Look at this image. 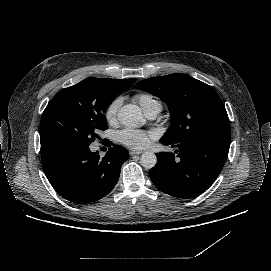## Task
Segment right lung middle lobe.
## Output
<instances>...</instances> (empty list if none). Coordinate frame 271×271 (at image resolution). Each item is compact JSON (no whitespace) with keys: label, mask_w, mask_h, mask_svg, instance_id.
<instances>
[{"label":"right lung middle lobe","mask_w":271,"mask_h":271,"mask_svg":"<svg viewBox=\"0 0 271 271\" xmlns=\"http://www.w3.org/2000/svg\"><path fill=\"white\" fill-rule=\"evenodd\" d=\"M121 92L111 93L94 102L81 89L59 91L45 108L40 122L41 144L54 140H71L90 144L97 132L108 128L105 109Z\"/></svg>","instance_id":"dd1d6c3e"}]
</instances>
